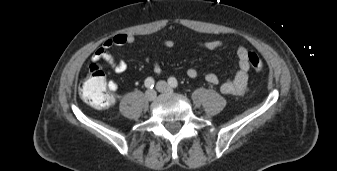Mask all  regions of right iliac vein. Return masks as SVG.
<instances>
[{
    "mask_svg": "<svg viewBox=\"0 0 337 171\" xmlns=\"http://www.w3.org/2000/svg\"><path fill=\"white\" fill-rule=\"evenodd\" d=\"M156 91L155 90H148L145 93V97L147 100L152 101L156 98Z\"/></svg>",
    "mask_w": 337,
    "mask_h": 171,
    "instance_id": "1",
    "label": "right iliac vein"
}]
</instances>
